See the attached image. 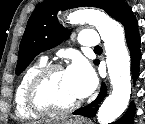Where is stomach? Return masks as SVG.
Returning <instances> with one entry per match:
<instances>
[{
  "label": "stomach",
  "mask_w": 145,
  "mask_h": 124,
  "mask_svg": "<svg viewBox=\"0 0 145 124\" xmlns=\"http://www.w3.org/2000/svg\"><path fill=\"white\" fill-rule=\"evenodd\" d=\"M56 124H85L83 121L81 120H74V119H70V120H62L59 123Z\"/></svg>",
  "instance_id": "1"
}]
</instances>
